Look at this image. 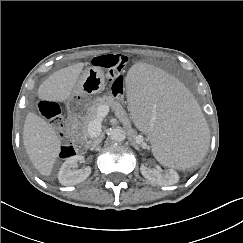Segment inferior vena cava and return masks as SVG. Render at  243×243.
Wrapping results in <instances>:
<instances>
[{
  "mask_svg": "<svg viewBox=\"0 0 243 243\" xmlns=\"http://www.w3.org/2000/svg\"><path fill=\"white\" fill-rule=\"evenodd\" d=\"M100 141H101L100 138H95L91 143L92 148H95L100 143Z\"/></svg>",
  "mask_w": 243,
  "mask_h": 243,
  "instance_id": "inferior-vena-cava-1",
  "label": "inferior vena cava"
}]
</instances>
